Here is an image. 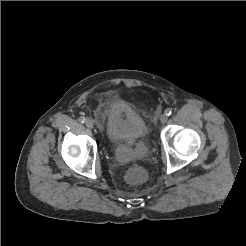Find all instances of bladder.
Here are the masks:
<instances>
[{"mask_svg":"<svg viewBox=\"0 0 246 246\" xmlns=\"http://www.w3.org/2000/svg\"><path fill=\"white\" fill-rule=\"evenodd\" d=\"M105 109L106 134L110 141L135 142L143 140L148 134V127L143 117L130 105L118 98H110ZM142 154L116 151L114 161L124 164L141 158Z\"/></svg>","mask_w":246,"mask_h":246,"instance_id":"bladder-1","label":"bladder"}]
</instances>
